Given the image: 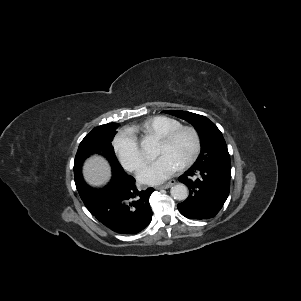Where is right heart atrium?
I'll return each instance as SVG.
<instances>
[{
	"mask_svg": "<svg viewBox=\"0 0 301 301\" xmlns=\"http://www.w3.org/2000/svg\"><path fill=\"white\" fill-rule=\"evenodd\" d=\"M114 151L121 164L130 171H138L144 159L136 135L129 129L119 131L113 140Z\"/></svg>",
	"mask_w": 301,
	"mask_h": 301,
	"instance_id": "1",
	"label": "right heart atrium"
}]
</instances>
